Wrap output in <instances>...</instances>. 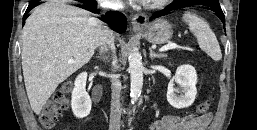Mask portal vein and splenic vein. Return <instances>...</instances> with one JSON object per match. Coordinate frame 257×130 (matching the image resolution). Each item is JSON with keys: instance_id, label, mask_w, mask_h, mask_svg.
<instances>
[{"instance_id": "1", "label": "portal vein and splenic vein", "mask_w": 257, "mask_h": 130, "mask_svg": "<svg viewBox=\"0 0 257 130\" xmlns=\"http://www.w3.org/2000/svg\"><path fill=\"white\" fill-rule=\"evenodd\" d=\"M178 48H179V47H178L177 45L172 44V45H168V46H165V47L161 48L160 51H167V50H170V49H178ZM73 62H74L73 59H70V60L68 61V63H73Z\"/></svg>"}]
</instances>
